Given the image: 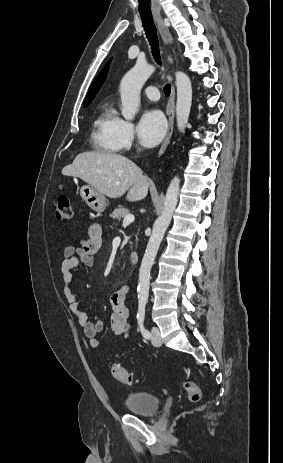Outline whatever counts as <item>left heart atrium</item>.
I'll return each mask as SVG.
<instances>
[{"label": "left heart atrium", "mask_w": 283, "mask_h": 463, "mask_svg": "<svg viewBox=\"0 0 283 463\" xmlns=\"http://www.w3.org/2000/svg\"><path fill=\"white\" fill-rule=\"evenodd\" d=\"M167 123L164 115L156 109L145 111L137 125L140 142L146 147L157 145L165 135Z\"/></svg>", "instance_id": "left-heart-atrium-1"}]
</instances>
